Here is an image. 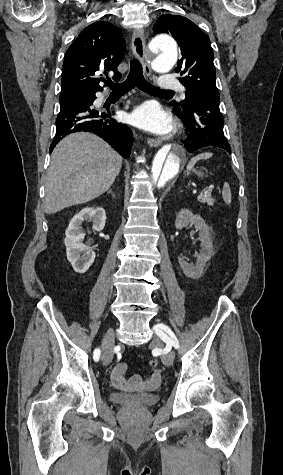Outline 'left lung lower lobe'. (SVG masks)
Returning <instances> with one entry per match:
<instances>
[{"instance_id":"0a47b994","label":"left lung lower lobe","mask_w":283,"mask_h":475,"mask_svg":"<svg viewBox=\"0 0 283 475\" xmlns=\"http://www.w3.org/2000/svg\"><path fill=\"white\" fill-rule=\"evenodd\" d=\"M174 112L183 119L188 131L184 141L187 152L192 153L207 146L230 152V145L223 132L224 118L219 109V96L196 94L186 110L174 107Z\"/></svg>"}]
</instances>
